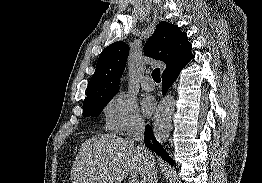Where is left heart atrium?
<instances>
[{"label": "left heart atrium", "mask_w": 262, "mask_h": 183, "mask_svg": "<svg viewBox=\"0 0 262 183\" xmlns=\"http://www.w3.org/2000/svg\"><path fill=\"white\" fill-rule=\"evenodd\" d=\"M155 109V101L151 97H145L142 100V111L145 115L149 116Z\"/></svg>", "instance_id": "1"}]
</instances>
